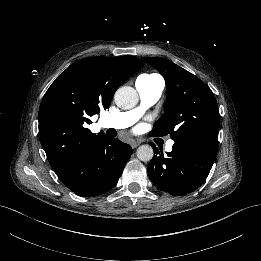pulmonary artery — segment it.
Segmentation results:
<instances>
[{"mask_svg":"<svg viewBox=\"0 0 261 261\" xmlns=\"http://www.w3.org/2000/svg\"><path fill=\"white\" fill-rule=\"evenodd\" d=\"M136 88L141 101L140 106L126 112L107 115L102 121L105 128L126 129L134 124L143 115L145 109L153 106L160 99L164 91V83L158 81L152 84H136ZM164 147L168 151L173 150L174 141H166Z\"/></svg>","mask_w":261,"mask_h":261,"instance_id":"1","label":"pulmonary artery"}]
</instances>
